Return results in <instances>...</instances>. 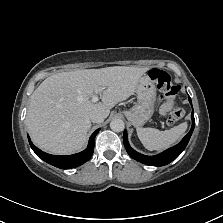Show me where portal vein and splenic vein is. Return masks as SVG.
Segmentation results:
<instances>
[{"label":"portal vein and splenic vein","instance_id":"1","mask_svg":"<svg viewBox=\"0 0 223 223\" xmlns=\"http://www.w3.org/2000/svg\"><path fill=\"white\" fill-rule=\"evenodd\" d=\"M102 89H103V88L99 89V91H102ZM98 100H99L98 95H93L91 101H92L93 103H96Z\"/></svg>","mask_w":223,"mask_h":223}]
</instances>
